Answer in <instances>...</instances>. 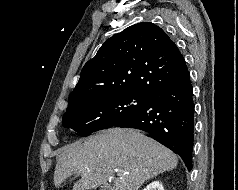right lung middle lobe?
Returning <instances> with one entry per match:
<instances>
[{
  "label": "right lung middle lobe",
  "instance_id": "obj_1",
  "mask_svg": "<svg viewBox=\"0 0 238 190\" xmlns=\"http://www.w3.org/2000/svg\"><path fill=\"white\" fill-rule=\"evenodd\" d=\"M150 97L133 93L95 95L82 98L67 108L62 124L82 136L110 128L141 110Z\"/></svg>",
  "mask_w": 238,
  "mask_h": 190
}]
</instances>
